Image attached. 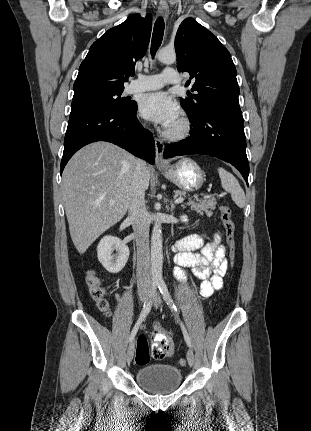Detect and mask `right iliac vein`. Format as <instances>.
Instances as JSON below:
<instances>
[{
    "label": "right iliac vein",
    "instance_id": "1",
    "mask_svg": "<svg viewBox=\"0 0 311 431\" xmlns=\"http://www.w3.org/2000/svg\"><path fill=\"white\" fill-rule=\"evenodd\" d=\"M139 297H140V300L142 302H146V300L148 298V293L147 292H141L140 295H139ZM134 350H135L134 343H131L129 345V347H128L127 354H126V360H127L128 363H130L132 361V359H133Z\"/></svg>",
    "mask_w": 311,
    "mask_h": 431
}]
</instances>
